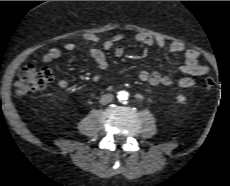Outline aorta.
<instances>
[{"mask_svg":"<svg viewBox=\"0 0 230 186\" xmlns=\"http://www.w3.org/2000/svg\"><path fill=\"white\" fill-rule=\"evenodd\" d=\"M129 97V93L126 92V91H119L118 92V95H117V98L120 100V101H125L127 100Z\"/></svg>","mask_w":230,"mask_h":186,"instance_id":"762f6f07","label":"aorta"}]
</instances>
